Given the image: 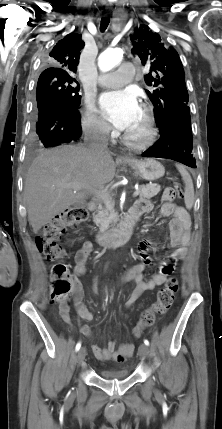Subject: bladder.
<instances>
[{
	"instance_id": "obj_1",
	"label": "bladder",
	"mask_w": 222,
	"mask_h": 429,
	"mask_svg": "<svg viewBox=\"0 0 222 429\" xmlns=\"http://www.w3.org/2000/svg\"><path fill=\"white\" fill-rule=\"evenodd\" d=\"M100 376L106 379H124L129 376V371L126 369L104 370Z\"/></svg>"
}]
</instances>
